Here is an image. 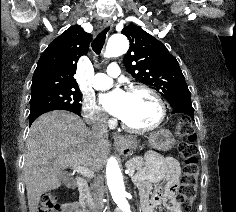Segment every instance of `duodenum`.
I'll return each mask as SVG.
<instances>
[{"mask_svg": "<svg viewBox=\"0 0 236 212\" xmlns=\"http://www.w3.org/2000/svg\"><path fill=\"white\" fill-rule=\"evenodd\" d=\"M78 190H79V203L81 206L82 212H97V209L90 197V189L88 183L79 178L77 181Z\"/></svg>", "mask_w": 236, "mask_h": 212, "instance_id": "1", "label": "duodenum"}]
</instances>
